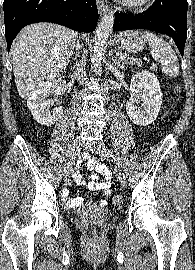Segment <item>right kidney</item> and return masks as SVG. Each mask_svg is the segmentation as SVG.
<instances>
[{
  "label": "right kidney",
  "instance_id": "1",
  "mask_svg": "<svg viewBox=\"0 0 195 270\" xmlns=\"http://www.w3.org/2000/svg\"><path fill=\"white\" fill-rule=\"evenodd\" d=\"M65 82L58 78L47 81L29 97L27 106L34 119L41 125H53L62 114V107H56L50 111L51 101L49 95H59L64 88Z\"/></svg>",
  "mask_w": 195,
  "mask_h": 270
}]
</instances>
